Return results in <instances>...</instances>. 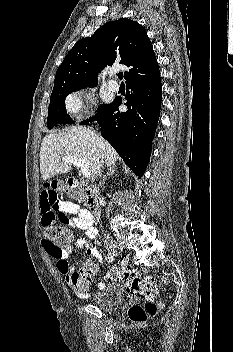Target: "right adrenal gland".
I'll return each instance as SVG.
<instances>
[{"instance_id": "obj_1", "label": "right adrenal gland", "mask_w": 233, "mask_h": 352, "mask_svg": "<svg viewBox=\"0 0 233 352\" xmlns=\"http://www.w3.org/2000/svg\"><path fill=\"white\" fill-rule=\"evenodd\" d=\"M115 171H116L115 166L110 167V168L108 169V172L106 173V175H104V177H103V179H102L100 185L103 186V185L105 184L106 178H107L108 176L113 175V174L115 173Z\"/></svg>"}]
</instances>
